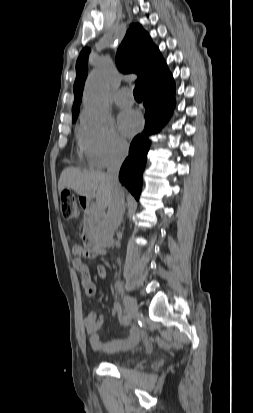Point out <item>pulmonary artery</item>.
<instances>
[{"mask_svg":"<svg viewBox=\"0 0 253 413\" xmlns=\"http://www.w3.org/2000/svg\"><path fill=\"white\" fill-rule=\"evenodd\" d=\"M115 103L120 107H128L134 103L132 94L127 89H121L115 95Z\"/></svg>","mask_w":253,"mask_h":413,"instance_id":"e3ab8cb5","label":"pulmonary artery"}]
</instances>
